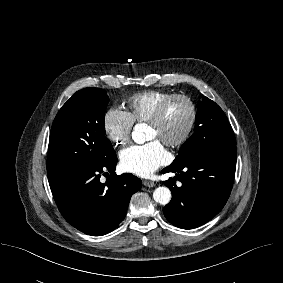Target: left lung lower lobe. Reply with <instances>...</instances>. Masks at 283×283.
Segmentation results:
<instances>
[{"instance_id":"obj_1","label":"left lung lower lobe","mask_w":283,"mask_h":283,"mask_svg":"<svg viewBox=\"0 0 283 283\" xmlns=\"http://www.w3.org/2000/svg\"><path fill=\"white\" fill-rule=\"evenodd\" d=\"M236 147L225 151L200 154L169 165L162 173L176 176L164 181L172 192L164 207L167 220L182 229H193L215 217L226 204L234 181ZM180 181V186L176 181Z\"/></svg>"}]
</instances>
